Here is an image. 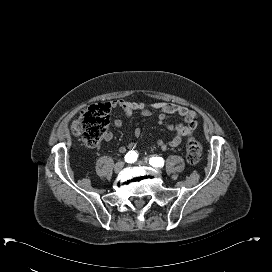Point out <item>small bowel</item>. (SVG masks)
Wrapping results in <instances>:
<instances>
[{
    "label": "small bowel",
    "mask_w": 272,
    "mask_h": 272,
    "mask_svg": "<svg viewBox=\"0 0 272 272\" xmlns=\"http://www.w3.org/2000/svg\"><path fill=\"white\" fill-rule=\"evenodd\" d=\"M112 106L120 108L126 118L132 116L135 112H140L145 117H150L152 110L158 111V122L162 123L168 115H179L183 118V121L175 126L168 125L169 130H174L176 135L167 143L164 140H158L157 144L160 148L165 149L167 146L177 147L181 144L183 137L190 136L197 126V114L195 111L180 105L157 102L152 103L149 106L142 102H129L124 100H114ZM122 125L121 119L114 121L115 127ZM134 136L139 137L141 131L139 128L134 129ZM105 141H111L113 139V133L110 130H106L103 135ZM137 148V144L134 142L123 145L119 148L121 153L128 151H134Z\"/></svg>",
    "instance_id": "1"
}]
</instances>
